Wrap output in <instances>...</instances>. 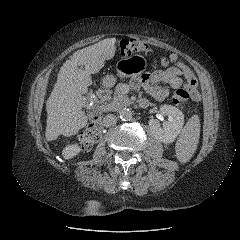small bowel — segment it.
<instances>
[{
  "instance_id": "obj_1",
  "label": "small bowel",
  "mask_w": 240,
  "mask_h": 240,
  "mask_svg": "<svg viewBox=\"0 0 240 240\" xmlns=\"http://www.w3.org/2000/svg\"><path fill=\"white\" fill-rule=\"evenodd\" d=\"M163 70H157L150 76L143 75L141 79L132 82L134 89L143 87L154 99L163 101L170 94V88L177 89L185 87L192 95L193 99H198L199 95L196 89L197 81L192 70L175 54L168 58H161ZM164 83L167 86H161ZM145 98L141 99V105L147 106Z\"/></svg>"
}]
</instances>
